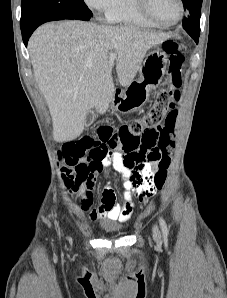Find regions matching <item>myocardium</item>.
<instances>
[{
  "mask_svg": "<svg viewBox=\"0 0 227 298\" xmlns=\"http://www.w3.org/2000/svg\"><path fill=\"white\" fill-rule=\"evenodd\" d=\"M137 1V7L139 12L142 14L143 17H145L147 20L151 21L152 23H154L157 26H161V27H171L174 26L176 24H178L183 16H184V3L183 0H177L178 4H179V15L178 17L172 21V22H163L159 19H157L152 11H151V4H150V0H136Z\"/></svg>",
  "mask_w": 227,
  "mask_h": 298,
  "instance_id": "myocardium-1",
  "label": "myocardium"
}]
</instances>
